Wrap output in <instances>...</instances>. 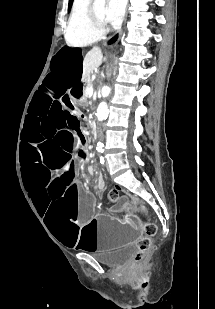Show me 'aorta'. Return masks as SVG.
<instances>
[{"label": "aorta", "instance_id": "obj_1", "mask_svg": "<svg viewBox=\"0 0 215 309\" xmlns=\"http://www.w3.org/2000/svg\"><path fill=\"white\" fill-rule=\"evenodd\" d=\"M94 6H98V8H104L106 4V0H94L93 2ZM111 88L110 86H103L102 88V96H108ZM96 116L98 120H104V118H107L108 116V104L105 102V100H102L100 104H98ZM97 146H102V142H98Z\"/></svg>", "mask_w": 215, "mask_h": 309}]
</instances>
